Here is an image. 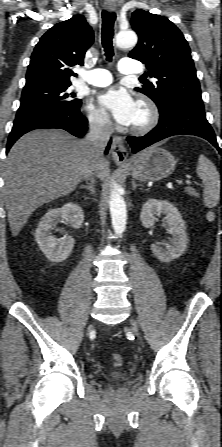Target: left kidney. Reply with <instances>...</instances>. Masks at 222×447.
<instances>
[{"mask_svg":"<svg viewBox=\"0 0 222 447\" xmlns=\"http://www.w3.org/2000/svg\"><path fill=\"white\" fill-rule=\"evenodd\" d=\"M165 214L172 235L170 243L159 242L151 250L161 262H170L180 257L187 247L186 226L178 209L166 200L149 199L142 207L140 219L144 227L152 228L156 216Z\"/></svg>","mask_w":222,"mask_h":447,"instance_id":"1","label":"left kidney"}]
</instances>
